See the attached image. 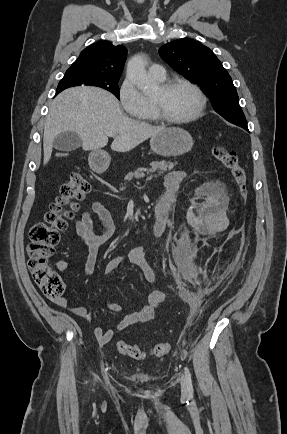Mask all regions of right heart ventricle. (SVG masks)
I'll return each instance as SVG.
<instances>
[{"label":"right heart ventricle","mask_w":287,"mask_h":434,"mask_svg":"<svg viewBox=\"0 0 287 434\" xmlns=\"http://www.w3.org/2000/svg\"><path fill=\"white\" fill-rule=\"evenodd\" d=\"M138 119L145 122H155L158 120L151 101L148 100L147 109L138 116Z\"/></svg>","instance_id":"obj_1"}]
</instances>
